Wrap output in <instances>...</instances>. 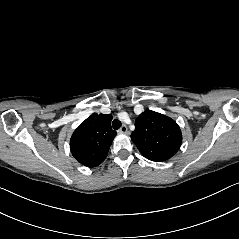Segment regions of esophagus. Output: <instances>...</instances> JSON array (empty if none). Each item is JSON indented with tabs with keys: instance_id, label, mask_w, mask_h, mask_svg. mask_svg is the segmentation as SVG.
Listing matches in <instances>:
<instances>
[{
	"instance_id": "1",
	"label": "esophagus",
	"mask_w": 239,
	"mask_h": 239,
	"mask_svg": "<svg viewBox=\"0 0 239 239\" xmlns=\"http://www.w3.org/2000/svg\"><path fill=\"white\" fill-rule=\"evenodd\" d=\"M120 133H127L128 132V128L126 125H122V127L118 130Z\"/></svg>"
}]
</instances>
